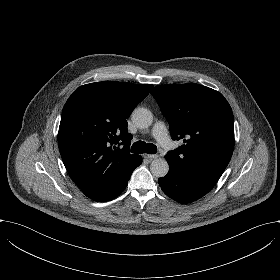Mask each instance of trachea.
Instances as JSON below:
<instances>
[{"instance_id": "trachea-1", "label": "trachea", "mask_w": 280, "mask_h": 280, "mask_svg": "<svg viewBox=\"0 0 280 280\" xmlns=\"http://www.w3.org/2000/svg\"><path fill=\"white\" fill-rule=\"evenodd\" d=\"M131 152L136 154H142V153L155 154L157 152V147L152 143L137 141L132 145Z\"/></svg>"}]
</instances>
